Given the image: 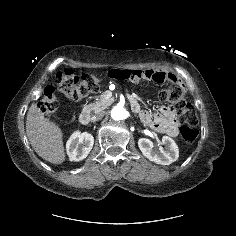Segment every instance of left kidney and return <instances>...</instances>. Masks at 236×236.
I'll return each mask as SVG.
<instances>
[{
	"label": "left kidney",
	"instance_id": "obj_1",
	"mask_svg": "<svg viewBox=\"0 0 236 236\" xmlns=\"http://www.w3.org/2000/svg\"><path fill=\"white\" fill-rule=\"evenodd\" d=\"M163 147H159V151L154 149L153 142L147 138H140L138 140V146L142 154L148 158L150 161H153L161 165H169L172 162L176 161L179 157V149L175 141L168 137H162Z\"/></svg>",
	"mask_w": 236,
	"mask_h": 236
}]
</instances>
